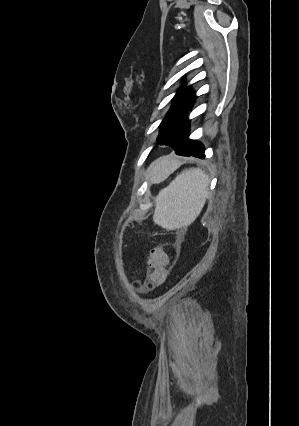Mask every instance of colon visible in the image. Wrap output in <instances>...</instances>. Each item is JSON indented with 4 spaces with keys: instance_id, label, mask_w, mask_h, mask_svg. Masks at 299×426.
I'll list each match as a JSON object with an SVG mask.
<instances>
[{
    "instance_id": "obj_1",
    "label": "colon",
    "mask_w": 299,
    "mask_h": 426,
    "mask_svg": "<svg viewBox=\"0 0 299 426\" xmlns=\"http://www.w3.org/2000/svg\"><path fill=\"white\" fill-rule=\"evenodd\" d=\"M148 263L150 266L148 287L152 289L162 285L169 273L168 256L164 246H157L150 250Z\"/></svg>"
}]
</instances>
